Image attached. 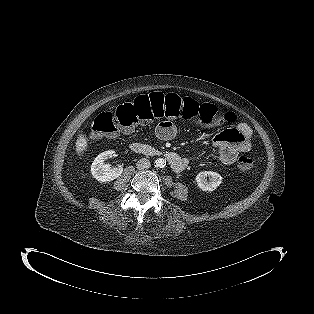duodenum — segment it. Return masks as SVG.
Here are the masks:
<instances>
[{
  "mask_svg": "<svg viewBox=\"0 0 314 314\" xmlns=\"http://www.w3.org/2000/svg\"><path fill=\"white\" fill-rule=\"evenodd\" d=\"M130 149L132 152L137 154H144L148 156L163 155L167 159L170 167L177 172L184 170L187 166V161L177 153L172 151L163 152L143 142L132 143Z\"/></svg>",
  "mask_w": 314,
  "mask_h": 314,
  "instance_id": "1",
  "label": "duodenum"
}]
</instances>
